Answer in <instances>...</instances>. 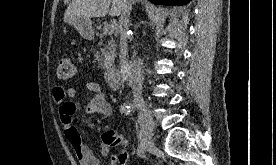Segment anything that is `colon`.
Listing matches in <instances>:
<instances>
[{
	"label": "colon",
	"instance_id": "obj_1",
	"mask_svg": "<svg viewBox=\"0 0 276 165\" xmlns=\"http://www.w3.org/2000/svg\"><path fill=\"white\" fill-rule=\"evenodd\" d=\"M76 67L69 57L63 56L58 60L57 76L60 80H69L75 77ZM102 141L112 147L127 146V140L116 131L107 128L102 133Z\"/></svg>",
	"mask_w": 276,
	"mask_h": 165
}]
</instances>
